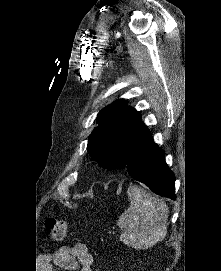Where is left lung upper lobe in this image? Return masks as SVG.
I'll return each instance as SVG.
<instances>
[{"label": "left lung upper lobe", "mask_w": 221, "mask_h": 271, "mask_svg": "<svg viewBox=\"0 0 221 271\" xmlns=\"http://www.w3.org/2000/svg\"><path fill=\"white\" fill-rule=\"evenodd\" d=\"M119 99L102 109L88 138L87 151L91 158L107 170L126 166L131 154L150 135L138 111L125 106Z\"/></svg>", "instance_id": "1"}]
</instances>
